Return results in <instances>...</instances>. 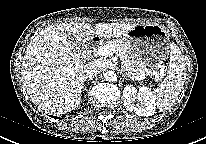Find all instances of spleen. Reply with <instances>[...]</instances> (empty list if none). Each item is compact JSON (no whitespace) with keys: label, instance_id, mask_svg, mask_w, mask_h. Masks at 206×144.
Instances as JSON below:
<instances>
[{"label":"spleen","instance_id":"obj_1","mask_svg":"<svg viewBox=\"0 0 206 144\" xmlns=\"http://www.w3.org/2000/svg\"><path fill=\"white\" fill-rule=\"evenodd\" d=\"M184 68L181 51L175 44H172L167 77L159 88L155 89L153 95L160 111L170 109L171 105L177 100L183 86Z\"/></svg>","mask_w":206,"mask_h":144}]
</instances>
